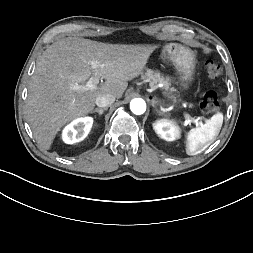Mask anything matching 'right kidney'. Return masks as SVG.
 <instances>
[{
	"label": "right kidney",
	"instance_id": "1",
	"mask_svg": "<svg viewBox=\"0 0 253 253\" xmlns=\"http://www.w3.org/2000/svg\"><path fill=\"white\" fill-rule=\"evenodd\" d=\"M93 124V118L84 117L74 120L63 130V140L67 144L80 142L86 138Z\"/></svg>",
	"mask_w": 253,
	"mask_h": 253
}]
</instances>
